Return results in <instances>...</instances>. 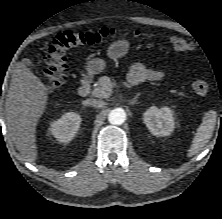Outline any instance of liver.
<instances>
[{"instance_id":"1","label":"liver","mask_w":222,"mask_h":219,"mask_svg":"<svg viewBox=\"0 0 222 219\" xmlns=\"http://www.w3.org/2000/svg\"><path fill=\"white\" fill-rule=\"evenodd\" d=\"M47 101V87L30 71L26 59L17 62L5 102L6 123L16 149L30 163L37 159L36 126Z\"/></svg>"}]
</instances>
